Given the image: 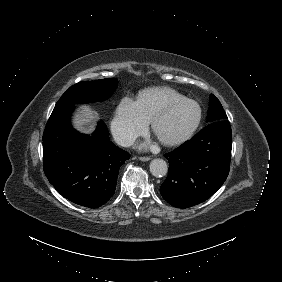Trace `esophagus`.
<instances>
[{
    "label": "esophagus",
    "mask_w": 282,
    "mask_h": 282,
    "mask_svg": "<svg viewBox=\"0 0 282 282\" xmlns=\"http://www.w3.org/2000/svg\"><path fill=\"white\" fill-rule=\"evenodd\" d=\"M150 159H151L150 157H145V156L139 157V160L141 161H149Z\"/></svg>",
    "instance_id": "obj_1"
}]
</instances>
